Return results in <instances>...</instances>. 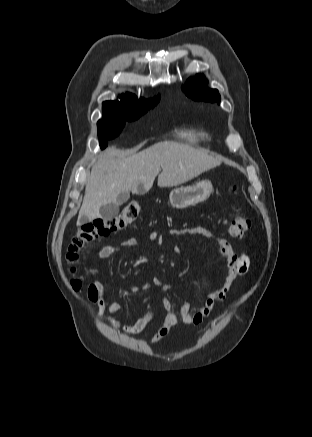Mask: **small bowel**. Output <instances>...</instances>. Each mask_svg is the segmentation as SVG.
Here are the masks:
<instances>
[{
    "mask_svg": "<svg viewBox=\"0 0 312 437\" xmlns=\"http://www.w3.org/2000/svg\"><path fill=\"white\" fill-rule=\"evenodd\" d=\"M169 234L174 238L181 237L182 235H201L212 240L216 244L218 251L225 257L227 261V271L221 286L209 292L205 296L204 303L201 305H192L190 302H184L177 312L168 299L162 298L161 302L165 312L164 320L161 327L152 336L150 340L151 343L158 342L167 336L169 332L173 328L177 327L180 322L186 325L201 324L203 320L215 309L217 304L225 300L234 280L238 276L246 274L250 266V258L246 253L237 254L227 240L221 238L214 232L204 227L194 226L184 229L173 228L170 229ZM152 239L159 241L160 236L157 233H153ZM140 245L141 241L139 239L128 238L118 244H107L102 246L98 251V257L100 259H108L117 254L122 247H139ZM174 250L179 251V247L175 246ZM152 285L162 286L164 291H168L170 289L169 285H162L159 279L154 278L151 282H145L140 287H132L131 291L133 293H138L141 290L145 291L150 289ZM88 297L89 300L97 306L98 314L100 316H103L106 312L113 314L124 310V307L119 302L108 301L104 285L96 278L93 279L88 286ZM153 318V311L148 310L133 324L122 323L120 320L111 315H108L106 320L112 327L120 329L126 334L134 335L145 329L152 322Z\"/></svg>",
    "mask_w": 312,
    "mask_h": 437,
    "instance_id": "c3829d8e",
    "label": "small bowel"
}]
</instances>
